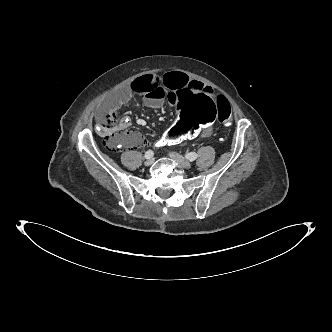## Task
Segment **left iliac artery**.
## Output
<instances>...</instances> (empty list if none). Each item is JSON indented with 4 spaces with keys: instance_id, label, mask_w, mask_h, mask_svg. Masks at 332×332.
I'll return each mask as SVG.
<instances>
[{
    "instance_id": "obj_1",
    "label": "left iliac artery",
    "mask_w": 332,
    "mask_h": 332,
    "mask_svg": "<svg viewBox=\"0 0 332 332\" xmlns=\"http://www.w3.org/2000/svg\"><path fill=\"white\" fill-rule=\"evenodd\" d=\"M185 157L189 160V161H194L197 158V154L195 152H189L185 155Z\"/></svg>"
}]
</instances>
